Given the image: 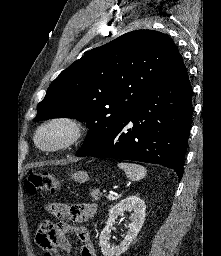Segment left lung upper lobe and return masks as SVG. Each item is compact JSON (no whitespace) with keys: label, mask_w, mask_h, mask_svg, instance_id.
I'll return each mask as SVG.
<instances>
[{"label":"left lung upper lobe","mask_w":221,"mask_h":256,"mask_svg":"<svg viewBox=\"0 0 221 256\" xmlns=\"http://www.w3.org/2000/svg\"><path fill=\"white\" fill-rule=\"evenodd\" d=\"M174 42L153 30H135L94 48L50 84L34 119L68 117L86 122L81 147L117 125L155 87L184 67Z\"/></svg>","instance_id":"5c2ea615"}]
</instances>
